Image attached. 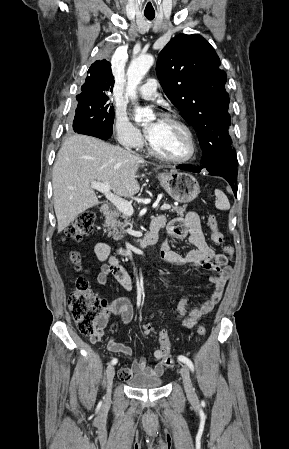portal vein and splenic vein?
<instances>
[{"instance_id":"obj_1","label":"portal vein and splenic vein","mask_w":289,"mask_h":449,"mask_svg":"<svg viewBox=\"0 0 289 449\" xmlns=\"http://www.w3.org/2000/svg\"><path fill=\"white\" fill-rule=\"evenodd\" d=\"M90 188L92 189H96L99 192L103 193L105 195V197L119 210L121 211L123 214H125L126 216H132L134 213L133 207L132 205L122 199L121 197L113 194L111 192L112 187L110 186V184L108 183H101V182H92L90 185ZM171 205L169 204H163L161 206V210H167L170 209Z\"/></svg>"}]
</instances>
